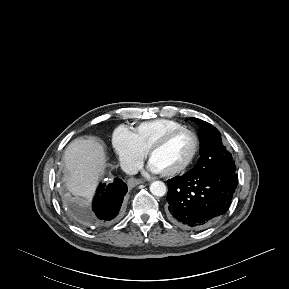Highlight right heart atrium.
<instances>
[{
    "instance_id": "1",
    "label": "right heart atrium",
    "mask_w": 289,
    "mask_h": 289,
    "mask_svg": "<svg viewBox=\"0 0 289 289\" xmlns=\"http://www.w3.org/2000/svg\"><path fill=\"white\" fill-rule=\"evenodd\" d=\"M112 143L122 166L127 170L136 168L144 157V152L137 145L132 132L127 129L117 130Z\"/></svg>"
}]
</instances>
